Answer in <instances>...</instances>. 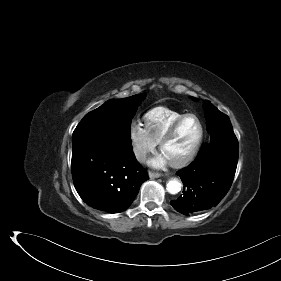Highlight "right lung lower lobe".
I'll list each match as a JSON object with an SVG mask.
<instances>
[{"label": "right lung lower lobe", "mask_w": 281, "mask_h": 281, "mask_svg": "<svg viewBox=\"0 0 281 281\" xmlns=\"http://www.w3.org/2000/svg\"><path fill=\"white\" fill-rule=\"evenodd\" d=\"M74 186L94 209L116 213L125 210L148 174L137 162L132 145L88 146L72 151Z\"/></svg>", "instance_id": "obj_1"}]
</instances>
